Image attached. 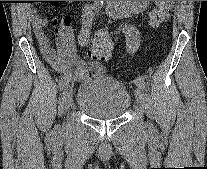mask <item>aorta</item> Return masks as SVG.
Here are the masks:
<instances>
[{
  "label": "aorta",
  "instance_id": "aorta-1",
  "mask_svg": "<svg viewBox=\"0 0 207 169\" xmlns=\"http://www.w3.org/2000/svg\"><path fill=\"white\" fill-rule=\"evenodd\" d=\"M98 3L103 1H97ZM111 5L112 11L119 13V14H124L127 11H129V8L133 6V1H109Z\"/></svg>",
  "mask_w": 207,
  "mask_h": 169
}]
</instances>
